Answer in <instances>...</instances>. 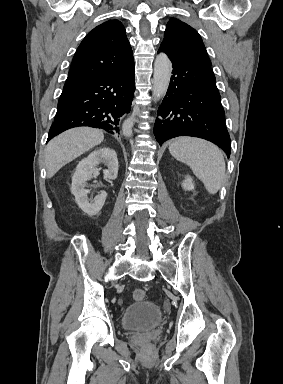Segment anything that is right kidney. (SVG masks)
Listing matches in <instances>:
<instances>
[{
  "label": "right kidney",
  "instance_id": "right-kidney-1",
  "mask_svg": "<svg viewBox=\"0 0 283 384\" xmlns=\"http://www.w3.org/2000/svg\"><path fill=\"white\" fill-rule=\"evenodd\" d=\"M98 164L107 166L108 170H103L105 178L116 180L118 158L115 150H111V148H97V150L91 152L88 158H84L79 162L76 172L72 176L71 192L75 196V202L90 218L97 216L107 198L106 192H101L96 200H88L89 190H85L86 182L93 176H99Z\"/></svg>",
  "mask_w": 283,
  "mask_h": 384
}]
</instances>
